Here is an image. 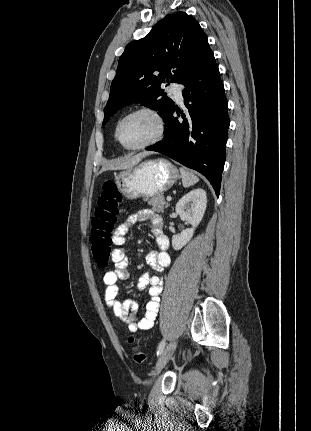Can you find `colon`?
Masks as SVG:
<instances>
[{"label": "colon", "mask_w": 311, "mask_h": 431, "mask_svg": "<svg viewBox=\"0 0 311 431\" xmlns=\"http://www.w3.org/2000/svg\"><path fill=\"white\" fill-rule=\"evenodd\" d=\"M121 193L114 180H106L103 183L101 194L97 200L94 216L92 218V229L90 245L94 261L99 267L107 266L112 252V233L118 219ZM128 342L133 346L132 358L134 362L143 364L146 356L134 346V336L128 337Z\"/></svg>", "instance_id": "colon-1"}]
</instances>
